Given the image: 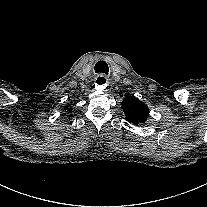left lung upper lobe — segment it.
<instances>
[{"mask_svg": "<svg viewBox=\"0 0 207 207\" xmlns=\"http://www.w3.org/2000/svg\"><path fill=\"white\" fill-rule=\"evenodd\" d=\"M122 109L125 119L134 125L144 123L149 115L147 105L133 96H128L122 101Z\"/></svg>", "mask_w": 207, "mask_h": 207, "instance_id": "left-lung-upper-lobe-1", "label": "left lung upper lobe"}]
</instances>
